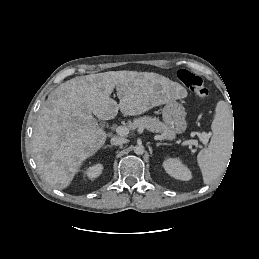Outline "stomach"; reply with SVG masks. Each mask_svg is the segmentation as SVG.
Wrapping results in <instances>:
<instances>
[{"mask_svg": "<svg viewBox=\"0 0 259 259\" xmlns=\"http://www.w3.org/2000/svg\"><path fill=\"white\" fill-rule=\"evenodd\" d=\"M164 123L175 133L181 134L187 128L186 112L184 107L174 101L167 103L162 109Z\"/></svg>", "mask_w": 259, "mask_h": 259, "instance_id": "0dacf381", "label": "stomach"}]
</instances>
